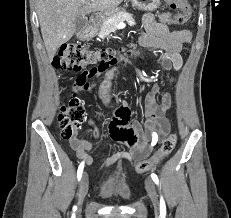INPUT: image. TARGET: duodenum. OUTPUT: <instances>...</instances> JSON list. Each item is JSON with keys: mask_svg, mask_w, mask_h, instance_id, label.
<instances>
[{"mask_svg": "<svg viewBox=\"0 0 231 218\" xmlns=\"http://www.w3.org/2000/svg\"><path fill=\"white\" fill-rule=\"evenodd\" d=\"M94 28H95L94 22H92V21L88 22L86 24L83 32L81 33V37H83V38L89 37L92 34V32L94 31Z\"/></svg>", "mask_w": 231, "mask_h": 218, "instance_id": "1", "label": "duodenum"}]
</instances>
